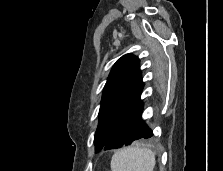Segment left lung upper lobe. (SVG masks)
<instances>
[{
  "label": "left lung upper lobe",
  "instance_id": "left-lung-upper-lobe-1",
  "mask_svg": "<svg viewBox=\"0 0 223 171\" xmlns=\"http://www.w3.org/2000/svg\"><path fill=\"white\" fill-rule=\"evenodd\" d=\"M143 87L139 59L131 54L122 56L114 64L103 90L94 138L96 151L139 99Z\"/></svg>",
  "mask_w": 223,
  "mask_h": 171
}]
</instances>
